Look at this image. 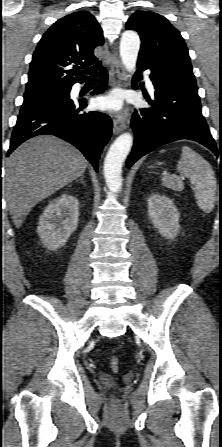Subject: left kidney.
<instances>
[{"label": "left kidney", "instance_id": "left-kidney-1", "mask_svg": "<svg viewBox=\"0 0 222 447\" xmlns=\"http://www.w3.org/2000/svg\"><path fill=\"white\" fill-rule=\"evenodd\" d=\"M148 216L159 233L166 239H174L180 229V214L173 201L159 193H152L148 200Z\"/></svg>", "mask_w": 222, "mask_h": 447}]
</instances>
